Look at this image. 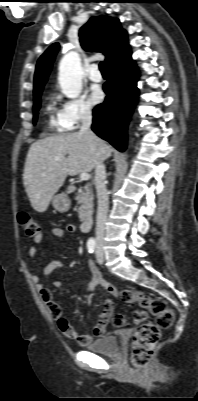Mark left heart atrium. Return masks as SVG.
Instances as JSON below:
<instances>
[{
    "label": "left heart atrium",
    "mask_w": 198,
    "mask_h": 401,
    "mask_svg": "<svg viewBox=\"0 0 198 401\" xmlns=\"http://www.w3.org/2000/svg\"><path fill=\"white\" fill-rule=\"evenodd\" d=\"M104 98V93L100 87H93L90 95L89 100L92 104L100 103Z\"/></svg>",
    "instance_id": "1"
}]
</instances>
